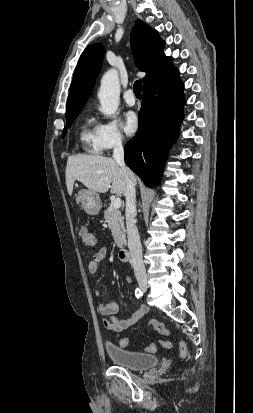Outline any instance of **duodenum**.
Wrapping results in <instances>:
<instances>
[{
  "label": "duodenum",
  "instance_id": "410a0bca",
  "mask_svg": "<svg viewBox=\"0 0 253 413\" xmlns=\"http://www.w3.org/2000/svg\"><path fill=\"white\" fill-rule=\"evenodd\" d=\"M119 259L122 262H127L130 259V251L127 247H122L118 253Z\"/></svg>",
  "mask_w": 253,
  "mask_h": 413
}]
</instances>
